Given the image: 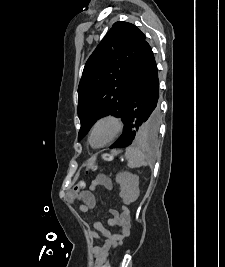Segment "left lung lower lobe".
Masks as SVG:
<instances>
[{"mask_svg":"<svg viewBox=\"0 0 225 267\" xmlns=\"http://www.w3.org/2000/svg\"><path fill=\"white\" fill-rule=\"evenodd\" d=\"M158 70L150 45L145 42L129 89L124 114V131L110 148L129 146L141 121L159 127L160 110Z\"/></svg>","mask_w":225,"mask_h":267,"instance_id":"1","label":"left lung lower lobe"}]
</instances>
